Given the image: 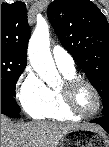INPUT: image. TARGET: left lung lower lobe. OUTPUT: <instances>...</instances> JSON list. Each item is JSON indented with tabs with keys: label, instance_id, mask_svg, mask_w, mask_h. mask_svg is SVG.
Returning a JSON list of instances; mask_svg holds the SVG:
<instances>
[{
	"label": "left lung lower lobe",
	"instance_id": "0a47b994",
	"mask_svg": "<svg viewBox=\"0 0 109 147\" xmlns=\"http://www.w3.org/2000/svg\"><path fill=\"white\" fill-rule=\"evenodd\" d=\"M90 122L101 125L109 133V114L102 115L101 117L93 119Z\"/></svg>",
	"mask_w": 109,
	"mask_h": 147
}]
</instances>
